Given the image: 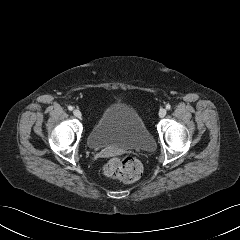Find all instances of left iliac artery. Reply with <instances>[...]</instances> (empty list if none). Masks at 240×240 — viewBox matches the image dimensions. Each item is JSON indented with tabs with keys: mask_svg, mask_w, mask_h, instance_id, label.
Listing matches in <instances>:
<instances>
[{
	"mask_svg": "<svg viewBox=\"0 0 240 240\" xmlns=\"http://www.w3.org/2000/svg\"><path fill=\"white\" fill-rule=\"evenodd\" d=\"M166 109H167V110H170V109H171V105L167 104V105H166Z\"/></svg>",
	"mask_w": 240,
	"mask_h": 240,
	"instance_id": "44dca946",
	"label": "left iliac artery"
}]
</instances>
